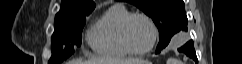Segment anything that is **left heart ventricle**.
Returning <instances> with one entry per match:
<instances>
[{
  "label": "left heart ventricle",
  "instance_id": "obj_1",
  "mask_svg": "<svg viewBox=\"0 0 242 64\" xmlns=\"http://www.w3.org/2000/svg\"><path fill=\"white\" fill-rule=\"evenodd\" d=\"M127 38L133 49H146L151 44L153 38L149 23L141 17L133 18L128 26Z\"/></svg>",
  "mask_w": 242,
  "mask_h": 64
}]
</instances>
